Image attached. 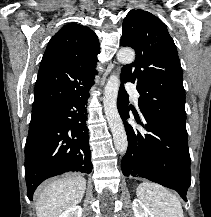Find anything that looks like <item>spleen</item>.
I'll use <instances>...</instances> for the list:
<instances>
[{"label":"spleen","instance_id":"1","mask_svg":"<svg viewBox=\"0 0 211 217\" xmlns=\"http://www.w3.org/2000/svg\"><path fill=\"white\" fill-rule=\"evenodd\" d=\"M136 194L154 217H184L178 197L159 184L143 182Z\"/></svg>","mask_w":211,"mask_h":217}]
</instances>
